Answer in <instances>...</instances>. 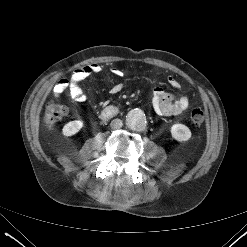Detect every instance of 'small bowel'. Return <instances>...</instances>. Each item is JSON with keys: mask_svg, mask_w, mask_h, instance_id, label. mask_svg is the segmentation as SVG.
Segmentation results:
<instances>
[{"mask_svg": "<svg viewBox=\"0 0 247 247\" xmlns=\"http://www.w3.org/2000/svg\"><path fill=\"white\" fill-rule=\"evenodd\" d=\"M102 71V66L97 63L88 64L75 70L68 79L59 80L53 88V95L59 98L68 91L71 99L76 103L86 100V95L81 88V82L92 74ZM111 73L116 77H122L123 72L119 68L112 67ZM168 82L173 88L178 87V81L173 77H168ZM123 89V83L118 82L112 85L110 93L117 94ZM152 105L155 112L160 116H176L183 113L189 106L187 96L175 97L160 86L155 87L152 95Z\"/></svg>", "mask_w": 247, "mask_h": 247, "instance_id": "small-bowel-1", "label": "small bowel"}]
</instances>
